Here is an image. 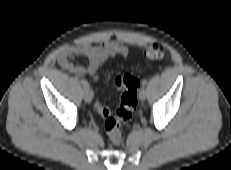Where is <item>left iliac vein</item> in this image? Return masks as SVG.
<instances>
[{
	"label": "left iliac vein",
	"instance_id": "4c4485c4",
	"mask_svg": "<svg viewBox=\"0 0 231 170\" xmlns=\"http://www.w3.org/2000/svg\"><path fill=\"white\" fill-rule=\"evenodd\" d=\"M139 98L141 101H144L146 99V90L144 87H142L139 92Z\"/></svg>",
	"mask_w": 231,
	"mask_h": 170
}]
</instances>
